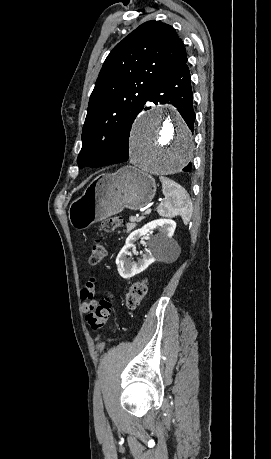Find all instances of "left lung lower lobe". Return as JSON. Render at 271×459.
<instances>
[{
	"label": "left lung lower lobe",
	"instance_id": "left-lung-lower-lobe-1",
	"mask_svg": "<svg viewBox=\"0 0 271 459\" xmlns=\"http://www.w3.org/2000/svg\"><path fill=\"white\" fill-rule=\"evenodd\" d=\"M147 101L154 102L155 104H173L187 123L188 127L193 130L195 113L193 110V92L191 88L190 70L187 62L169 78L163 81L151 93ZM128 157L129 152L110 164L125 162L128 160ZM190 170L191 163L183 169L185 172H189Z\"/></svg>",
	"mask_w": 271,
	"mask_h": 459
}]
</instances>
